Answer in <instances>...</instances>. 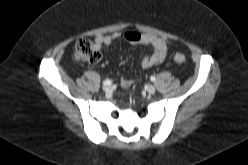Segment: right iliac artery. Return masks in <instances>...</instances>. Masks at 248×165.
Segmentation results:
<instances>
[{
  "label": "right iliac artery",
  "instance_id": "1",
  "mask_svg": "<svg viewBox=\"0 0 248 165\" xmlns=\"http://www.w3.org/2000/svg\"><path fill=\"white\" fill-rule=\"evenodd\" d=\"M111 83H112V80H110V79H106V80L103 81L104 86L105 85H110Z\"/></svg>",
  "mask_w": 248,
  "mask_h": 165
}]
</instances>
